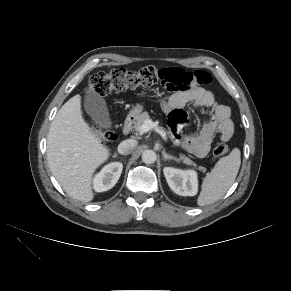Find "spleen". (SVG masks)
<instances>
[{"label":"spleen","mask_w":291,"mask_h":291,"mask_svg":"<svg viewBox=\"0 0 291 291\" xmlns=\"http://www.w3.org/2000/svg\"><path fill=\"white\" fill-rule=\"evenodd\" d=\"M240 150L234 148L228 156L222 157L206 175L197 199L199 206L210 205L222 198L234 183L240 165Z\"/></svg>","instance_id":"spleen-1"}]
</instances>
